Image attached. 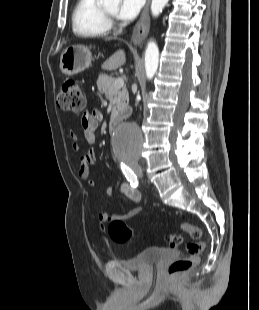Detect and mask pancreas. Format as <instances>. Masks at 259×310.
Segmentation results:
<instances>
[{"instance_id":"obj_1","label":"pancreas","mask_w":259,"mask_h":310,"mask_svg":"<svg viewBox=\"0 0 259 310\" xmlns=\"http://www.w3.org/2000/svg\"><path fill=\"white\" fill-rule=\"evenodd\" d=\"M97 87L100 93L104 94L113 104L111 122L121 120L127 116L128 91L114 88V79L108 75H100L97 80Z\"/></svg>"}]
</instances>
